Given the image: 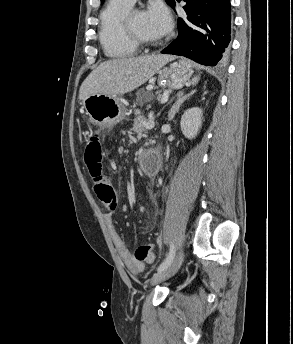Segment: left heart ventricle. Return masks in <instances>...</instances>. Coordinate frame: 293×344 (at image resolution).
I'll list each match as a JSON object with an SVG mask.
<instances>
[{"label":"left heart ventricle","instance_id":"left-heart-ventricle-1","mask_svg":"<svg viewBox=\"0 0 293 344\" xmlns=\"http://www.w3.org/2000/svg\"><path fill=\"white\" fill-rule=\"evenodd\" d=\"M131 27L133 31L139 36L149 40L158 41L159 37L153 34L147 27L145 22V15L143 12L135 13L131 18Z\"/></svg>","mask_w":293,"mask_h":344}]
</instances>
